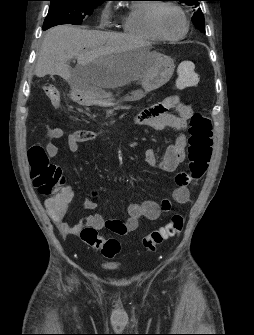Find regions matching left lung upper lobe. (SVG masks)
<instances>
[{"mask_svg":"<svg viewBox=\"0 0 254 335\" xmlns=\"http://www.w3.org/2000/svg\"><path fill=\"white\" fill-rule=\"evenodd\" d=\"M182 3H185L186 5L193 6V8H197L200 0H178ZM192 21L194 22L195 26L201 31L205 32V22H204V16L199 8L197 12L194 13Z\"/></svg>","mask_w":254,"mask_h":335,"instance_id":"1","label":"left lung upper lobe"}]
</instances>
